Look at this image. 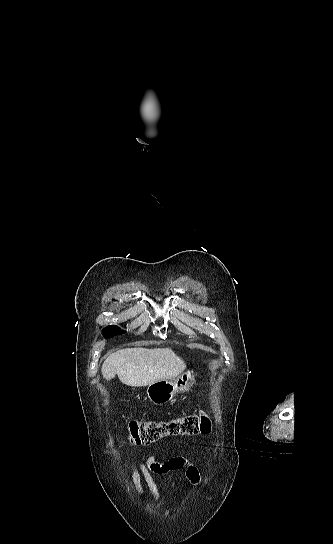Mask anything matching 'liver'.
Returning a JSON list of instances; mask_svg holds the SVG:
<instances>
[{"label":"liver","mask_w":333,"mask_h":544,"mask_svg":"<svg viewBox=\"0 0 333 544\" xmlns=\"http://www.w3.org/2000/svg\"><path fill=\"white\" fill-rule=\"evenodd\" d=\"M185 368V362L170 348L137 347L110 354L101 372L107 381L118 375L123 384L141 387L159 380L176 378Z\"/></svg>","instance_id":"6515ba94"}]
</instances>
